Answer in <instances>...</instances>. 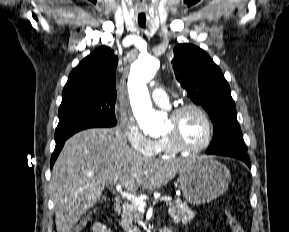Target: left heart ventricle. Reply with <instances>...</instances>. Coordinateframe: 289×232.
<instances>
[{
    "instance_id": "obj_1",
    "label": "left heart ventricle",
    "mask_w": 289,
    "mask_h": 232,
    "mask_svg": "<svg viewBox=\"0 0 289 232\" xmlns=\"http://www.w3.org/2000/svg\"><path fill=\"white\" fill-rule=\"evenodd\" d=\"M174 135L187 146H196L204 141L207 127L203 118L195 111L183 113L177 120H167L163 136Z\"/></svg>"
}]
</instances>
